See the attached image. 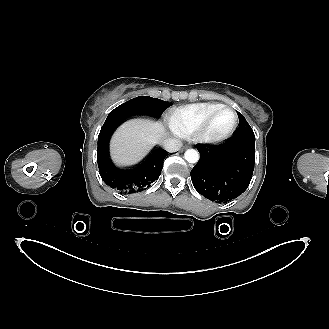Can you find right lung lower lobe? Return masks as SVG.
<instances>
[{
    "instance_id": "right-lung-lower-lobe-1",
    "label": "right lung lower lobe",
    "mask_w": 329,
    "mask_h": 329,
    "mask_svg": "<svg viewBox=\"0 0 329 329\" xmlns=\"http://www.w3.org/2000/svg\"><path fill=\"white\" fill-rule=\"evenodd\" d=\"M121 121H105L98 136L97 163L103 181L121 193H135L148 188L157 180L162 171L163 160L168 152L154 149L137 167L120 170L109 158L108 142L113 130Z\"/></svg>"
}]
</instances>
